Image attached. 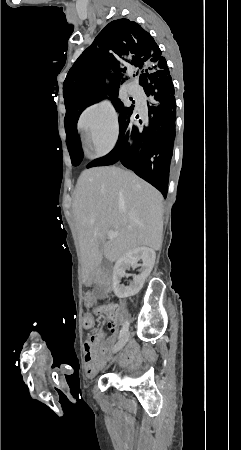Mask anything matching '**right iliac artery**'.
I'll return each instance as SVG.
<instances>
[{"mask_svg": "<svg viewBox=\"0 0 241 450\" xmlns=\"http://www.w3.org/2000/svg\"><path fill=\"white\" fill-rule=\"evenodd\" d=\"M128 327H129V323L126 321V323L124 324V326L120 330L119 338H121L128 331Z\"/></svg>", "mask_w": 241, "mask_h": 450, "instance_id": "right-iliac-artery-1", "label": "right iliac artery"}]
</instances>
